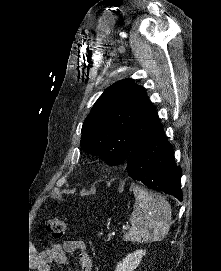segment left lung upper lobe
<instances>
[{"label":"left lung upper lobe","mask_w":221,"mask_h":271,"mask_svg":"<svg viewBox=\"0 0 221 271\" xmlns=\"http://www.w3.org/2000/svg\"><path fill=\"white\" fill-rule=\"evenodd\" d=\"M160 124L144 88L124 79L108 87L95 102L83 123L80 145L109 165L119 164Z\"/></svg>","instance_id":"left-lung-upper-lobe-1"}]
</instances>
